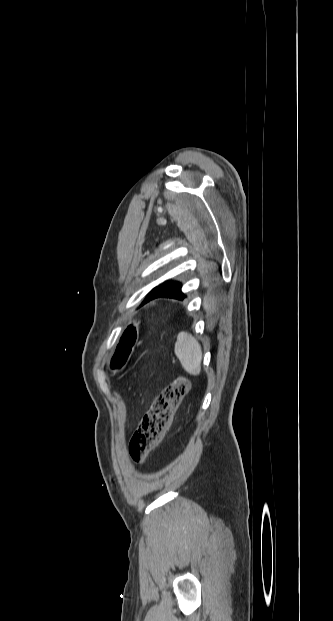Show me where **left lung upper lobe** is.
I'll return each instance as SVG.
<instances>
[{
    "mask_svg": "<svg viewBox=\"0 0 333 621\" xmlns=\"http://www.w3.org/2000/svg\"><path fill=\"white\" fill-rule=\"evenodd\" d=\"M170 281H165L164 283L160 284L159 286L155 287L149 294L148 296L145 298V300L143 301L142 304H145L147 302H149L152 298V296L163 286H165L166 284H168Z\"/></svg>",
    "mask_w": 333,
    "mask_h": 621,
    "instance_id": "1",
    "label": "left lung upper lobe"
}]
</instances>
